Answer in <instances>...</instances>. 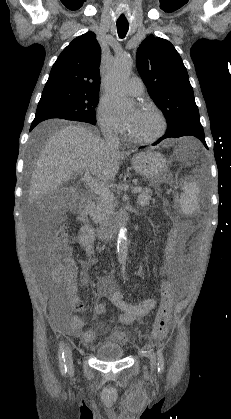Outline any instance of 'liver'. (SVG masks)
<instances>
[{"mask_svg": "<svg viewBox=\"0 0 231 419\" xmlns=\"http://www.w3.org/2000/svg\"><path fill=\"white\" fill-rule=\"evenodd\" d=\"M128 153L112 150L90 129L80 125L60 128L47 140L32 173L29 202L46 196L83 171L101 184L115 179L120 160Z\"/></svg>", "mask_w": 231, "mask_h": 419, "instance_id": "obj_1", "label": "liver"}]
</instances>
